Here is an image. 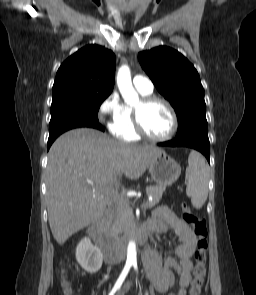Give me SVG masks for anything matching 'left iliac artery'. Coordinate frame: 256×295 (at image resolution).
<instances>
[{"label":"left iliac artery","instance_id":"44dca946","mask_svg":"<svg viewBox=\"0 0 256 295\" xmlns=\"http://www.w3.org/2000/svg\"><path fill=\"white\" fill-rule=\"evenodd\" d=\"M133 266H134V269L137 271L138 268H137V263L136 262L133 263ZM146 295H148V294L146 293Z\"/></svg>","mask_w":256,"mask_h":295}]
</instances>
